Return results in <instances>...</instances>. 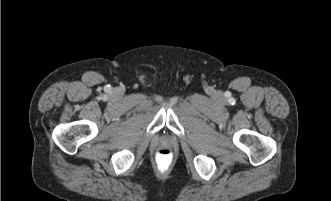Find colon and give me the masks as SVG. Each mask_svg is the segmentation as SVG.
<instances>
[{"mask_svg":"<svg viewBox=\"0 0 331 201\" xmlns=\"http://www.w3.org/2000/svg\"><path fill=\"white\" fill-rule=\"evenodd\" d=\"M154 163L157 170L161 173H167L172 170L175 157L170 148L162 147L155 152Z\"/></svg>","mask_w":331,"mask_h":201,"instance_id":"1","label":"colon"}]
</instances>
